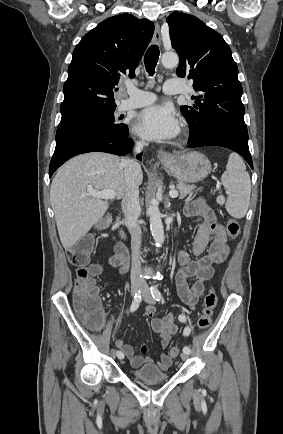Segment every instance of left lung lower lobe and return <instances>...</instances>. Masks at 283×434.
Masks as SVG:
<instances>
[{
  "mask_svg": "<svg viewBox=\"0 0 283 434\" xmlns=\"http://www.w3.org/2000/svg\"><path fill=\"white\" fill-rule=\"evenodd\" d=\"M190 148L201 146H220L233 150L240 154L253 169L251 154L249 152L248 140L233 134L219 133L205 137L197 141H189Z\"/></svg>",
  "mask_w": 283,
  "mask_h": 434,
  "instance_id": "obj_1",
  "label": "left lung lower lobe"
}]
</instances>
